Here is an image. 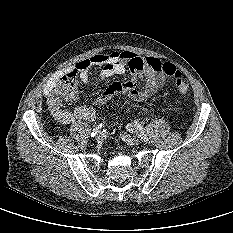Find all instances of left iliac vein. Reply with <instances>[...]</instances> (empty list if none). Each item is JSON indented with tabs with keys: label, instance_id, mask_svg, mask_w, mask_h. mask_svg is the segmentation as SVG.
I'll use <instances>...</instances> for the list:
<instances>
[{
	"label": "left iliac vein",
	"instance_id": "4c4485c4",
	"mask_svg": "<svg viewBox=\"0 0 233 233\" xmlns=\"http://www.w3.org/2000/svg\"><path fill=\"white\" fill-rule=\"evenodd\" d=\"M121 138L123 139V141H125L127 143H130L131 141L138 142L140 139V134L137 130H134L133 131V139H132L129 134L124 132V133H121Z\"/></svg>",
	"mask_w": 233,
	"mask_h": 233
}]
</instances>
